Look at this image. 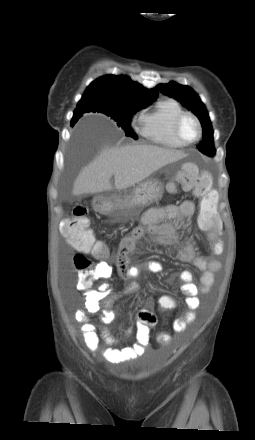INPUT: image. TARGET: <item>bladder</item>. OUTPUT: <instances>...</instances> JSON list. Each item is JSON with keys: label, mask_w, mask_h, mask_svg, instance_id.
Wrapping results in <instances>:
<instances>
[{"label": "bladder", "mask_w": 255, "mask_h": 440, "mask_svg": "<svg viewBox=\"0 0 255 440\" xmlns=\"http://www.w3.org/2000/svg\"><path fill=\"white\" fill-rule=\"evenodd\" d=\"M148 368V366H144V367H142L141 369H147Z\"/></svg>", "instance_id": "31cf9c89"}]
</instances>
